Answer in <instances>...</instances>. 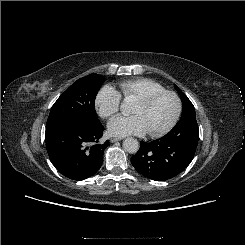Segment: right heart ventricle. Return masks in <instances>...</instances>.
<instances>
[{
	"label": "right heart ventricle",
	"instance_id": "obj_1",
	"mask_svg": "<svg viewBox=\"0 0 245 245\" xmlns=\"http://www.w3.org/2000/svg\"><path fill=\"white\" fill-rule=\"evenodd\" d=\"M120 94L124 98L138 99L142 96L164 91L165 88L159 82L151 78H135L119 83Z\"/></svg>",
	"mask_w": 245,
	"mask_h": 245
}]
</instances>
